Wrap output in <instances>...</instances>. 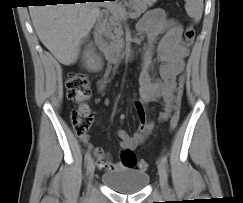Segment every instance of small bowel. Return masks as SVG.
<instances>
[{"mask_svg":"<svg viewBox=\"0 0 243 203\" xmlns=\"http://www.w3.org/2000/svg\"><path fill=\"white\" fill-rule=\"evenodd\" d=\"M137 32L146 39L139 78L141 98L133 102L140 123L132 134L124 129L118 131L120 147L130 150L136 149L155 129V123L147 110L149 103L161 104V122L169 119L174 109L177 77L184 70L185 58L188 55V49L182 41V27L175 20L168 19L161 9L147 12L140 19ZM110 73L111 67H107L104 77L98 83L100 92L105 90ZM120 120H125L124 114L120 115ZM82 141L93 151L100 169L111 171L123 168L121 163L109 160L101 148L89 144L86 137H82Z\"/></svg>","mask_w":243,"mask_h":203,"instance_id":"1","label":"small bowel"}]
</instances>
